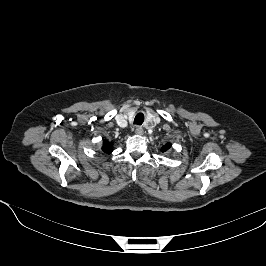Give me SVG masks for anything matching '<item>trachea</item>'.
<instances>
[{"mask_svg":"<svg viewBox=\"0 0 266 266\" xmlns=\"http://www.w3.org/2000/svg\"><path fill=\"white\" fill-rule=\"evenodd\" d=\"M144 121V115L142 113H138L136 116H135V119H134V124L136 125H141Z\"/></svg>","mask_w":266,"mask_h":266,"instance_id":"trachea-1","label":"trachea"}]
</instances>
